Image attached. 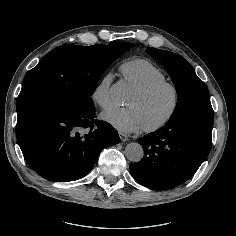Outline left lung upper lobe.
<instances>
[{"label": "left lung upper lobe", "mask_w": 236, "mask_h": 236, "mask_svg": "<svg viewBox=\"0 0 236 236\" xmlns=\"http://www.w3.org/2000/svg\"><path fill=\"white\" fill-rule=\"evenodd\" d=\"M147 53L164 65L178 94L177 106L167 124L189 119L213 122L208 88L188 61L178 54L152 47L147 48Z\"/></svg>", "instance_id": "1"}]
</instances>
